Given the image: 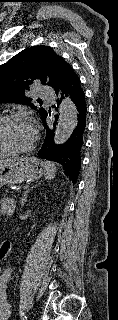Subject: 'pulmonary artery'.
Masks as SVG:
<instances>
[{
	"label": "pulmonary artery",
	"instance_id": "e3ab8cb5",
	"mask_svg": "<svg viewBox=\"0 0 118 320\" xmlns=\"http://www.w3.org/2000/svg\"><path fill=\"white\" fill-rule=\"evenodd\" d=\"M39 95L43 100H53L55 98L53 91L44 87L39 88Z\"/></svg>",
	"mask_w": 118,
	"mask_h": 320
}]
</instances>
